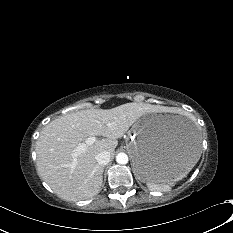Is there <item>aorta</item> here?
I'll list each match as a JSON object with an SVG mask.
<instances>
[{"mask_svg": "<svg viewBox=\"0 0 233 233\" xmlns=\"http://www.w3.org/2000/svg\"><path fill=\"white\" fill-rule=\"evenodd\" d=\"M116 162L118 164H127L128 163V156L125 153H118L116 156Z\"/></svg>", "mask_w": 233, "mask_h": 233, "instance_id": "obj_1", "label": "aorta"}]
</instances>
